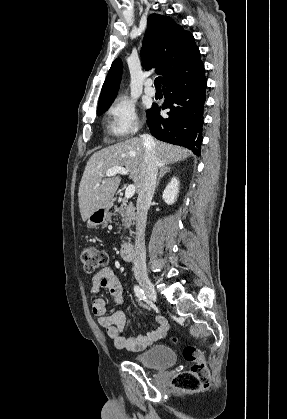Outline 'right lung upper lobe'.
<instances>
[{
  "mask_svg": "<svg viewBox=\"0 0 287 419\" xmlns=\"http://www.w3.org/2000/svg\"><path fill=\"white\" fill-rule=\"evenodd\" d=\"M141 59L146 70L157 68L163 85L194 73L204 66L193 35L170 17L152 14L148 17ZM122 62L116 59L103 84L98 108L111 104L116 97L122 75Z\"/></svg>",
  "mask_w": 287,
  "mask_h": 419,
  "instance_id": "right-lung-upper-lobe-1",
  "label": "right lung upper lobe"
}]
</instances>
